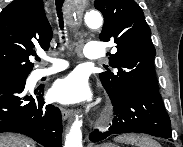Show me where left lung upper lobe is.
<instances>
[{"mask_svg":"<svg viewBox=\"0 0 183 147\" xmlns=\"http://www.w3.org/2000/svg\"><path fill=\"white\" fill-rule=\"evenodd\" d=\"M94 5L104 17L99 39L115 43L114 54L109 53V65L117 71L106 68V72L99 73L108 95L115 98L129 87L158 91L156 51L140 6L134 0H95Z\"/></svg>","mask_w":183,"mask_h":147,"instance_id":"obj_1","label":"left lung upper lobe"}]
</instances>
